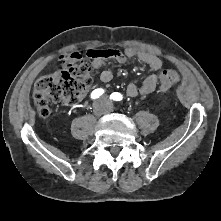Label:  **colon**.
<instances>
[{
  "label": "colon",
  "mask_w": 221,
  "mask_h": 221,
  "mask_svg": "<svg viewBox=\"0 0 221 221\" xmlns=\"http://www.w3.org/2000/svg\"><path fill=\"white\" fill-rule=\"evenodd\" d=\"M101 55L100 51L87 52ZM61 68L51 74L40 77L33 89V100L38 114L46 118L50 113V103L77 104L92 85L91 68L85 60L82 51L67 52L61 55ZM180 81V76L173 70H164L160 75L159 90L167 93L170 88Z\"/></svg>",
  "instance_id": "5ec220e1"
}]
</instances>
